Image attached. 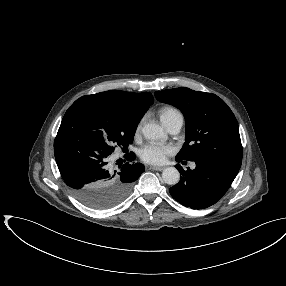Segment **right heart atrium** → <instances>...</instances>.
<instances>
[{
    "label": "right heart atrium",
    "instance_id": "right-heart-atrium-1",
    "mask_svg": "<svg viewBox=\"0 0 286 286\" xmlns=\"http://www.w3.org/2000/svg\"><path fill=\"white\" fill-rule=\"evenodd\" d=\"M142 123H143V120H141V121L137 124V126H136V128H135V134H136V135L140 134L141 129H142Z\"/></svg>",
    "mask_w": 286,
    "mask_h": 286
}]
</instances>
